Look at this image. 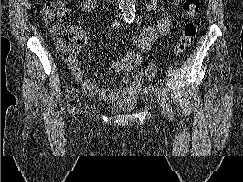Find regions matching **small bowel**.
Wrapping results in <instances>:
<instances>
[{"label": "small bowel", "mask_w": 243, "mask_h": 182, "mask_svg": "<svg viewBox=\"0 0 243 182\" xmlns=\"http://www.w3.org/2000/svg\"><path fill=\"white\" fill-rule=\"evenodd\" d=\"M174 5L179 4L182 0H169ZM160 0H150L148 4L149 10H154ZM97 7V0H85L81 5V11L84 13L91 12ZM121 26L119 21L110 24V30L114 31ZM174 28L173 20L170 16H166L158 21L157 29L150 26H143L139 33L133 38V49L127 51L123 57L111 63L114 72L122 74V88L115 91H107L100 88L98 84L84 77L83 70L79 67L76 58L67 60V65L80 83L81 87L96 96L98 99L106 102H115L121 97L137 95L142 86V79L139 75L130 77L131 71L139 67L143 62V55L149 52L159 36L169 34ZM89 45V38L80 34L77 49L85 48Z\"/></svg>", "instance_id": "small-bowel-1"}]
</instances>
